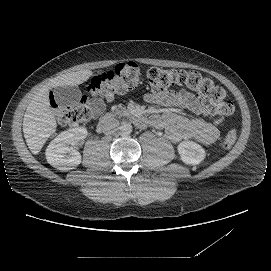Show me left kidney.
I'll list each match as a JSON object with an SVG mask.
<instances>
[{
  "instance_id": "5707ae66",
  "label": "left kidney",
  "mask_w": 271,
  "mask_h": 271,
  "mask_svg": "<svg viewBox=\"0 0 271 271\" xmlns=\"http://www.w3.org/2000/svg\"><path fill=\"white\" fill-rule=\"evenodd\" d=\"M177 150L181 160L188 165H198L206 156L202 146L193 141H182L177 146Z\"/></svg>"
}]
</instances>
